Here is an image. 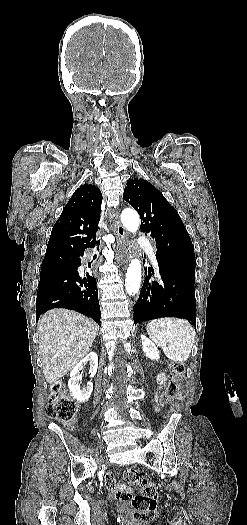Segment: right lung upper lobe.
Instances as JSON below:
<instances>
[{
  "instance_id": "1",
  "label": "right lung upper lobe",
  "mask_w": 247,
  "mask_h": 525,
  "mask_svg": "<svg viewBox=\"0 0 247 525\" xmlns=\"http://www.w3.org/2000/svg\"><path fill=\"white\" fill-rule=\"evenodd\" d=\"M101 202V192L94 185H82L73 193L53 226L41 268L55 257H72L95 241Z\"/></svg>"
}]
</instances>
